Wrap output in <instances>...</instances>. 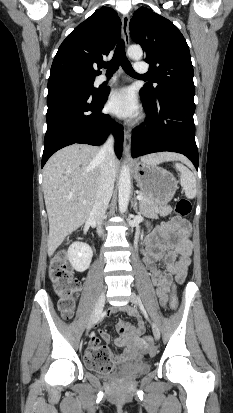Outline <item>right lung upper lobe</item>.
Here are the masks:
<instances>
[{"label": "right lung upper lobe", "instance_id": "right-lung-upper-lobe-1", "mask_svg": "<svg viewBox=\"0 0 233 413\" xmlns=\"http://www.w3.org/2000/svg\"><path fill=\"white\" fill-rule=\"evenodd\" d=\"M120 33L121 22L116 11L110 7L96 10L60 45L49 81L64 77L95 78L101 73L103 57L114 48Z\"/></svg>", "mask_w": 233, "mask_h": 413}]
</instances>
